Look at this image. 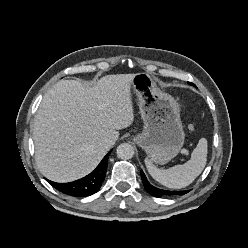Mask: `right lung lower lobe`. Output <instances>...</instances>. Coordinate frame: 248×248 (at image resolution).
Masks as SVG:
<instances>
[{"mask_svg": "<svg viewBox=\"0 0 248 248\" xmlns=\"http://www.w3.org/2000/svg\"><path fill=\"white\" fill-rule=\"evenodd\" d=\"M111 151L106 154V156L92 173L82 179L70 183H55L50 180H48V182L58 191L67 195L75 197L90 196L99 190L102 182L105 179L108 158Z\"/></svg>", "mask_w": 248, "mask_h": 248, "instance_id": "98d812e1", "label": "right lung lower lobe"}]
</instances>
